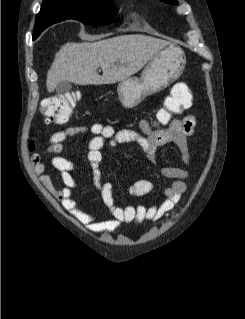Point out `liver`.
Listing matches in <instances>:
<instances>
[{
    "label": "liver",
    "instance_id": "obj_1",
    "mask_svg": "<svg viewBox=\"0 0 245 319\" xmlns=\"http://www.w3.org/2000/svg\"><path fill=\"white\" fill-rule=\"evenodd\" d=\"M168 41L143 34L121 35L96 42L63 45L47 73L48 92L58 83L103 85L121 82L140 71ZM101 67L102 76L97 73Z\"/></svg>",
    "mask_w": 245,
    "mask_h": 319
}]
</instances>
